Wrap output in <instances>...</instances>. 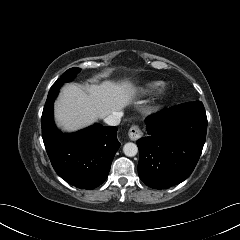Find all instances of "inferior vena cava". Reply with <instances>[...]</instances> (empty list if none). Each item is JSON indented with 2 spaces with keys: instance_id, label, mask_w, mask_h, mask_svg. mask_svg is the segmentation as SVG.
<instances>
[{
  "instance_id": "obj_1",
  "label": "inferior vena cava",
  "mask_w": 240,
  "mask_h": 240,
  "mask_svg": "<svg viewBox=\"0 0 240 240\" xmlns=\"http://www.w3.org/2000/svg\"><path fill=\"white\" fill-rule=\"evenodd\" d=\"M122 113L114 112L104 119V122L110 126H117L121 121Z\"/></svg>"
}]
</instances>
